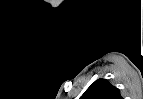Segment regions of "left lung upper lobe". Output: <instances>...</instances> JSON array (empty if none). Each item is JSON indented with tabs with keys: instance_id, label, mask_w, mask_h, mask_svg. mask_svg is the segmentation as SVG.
<instances>
[{
	"instance_id": "obj_1",
	"label": "left lung upper lobe",
	"mask_w": 143,
	"mask_h": 99,
	"mask_svg": "<svg viewBox=\"0 0 143 99\" xmlns=\"http://www.w3.org/2000/svg\"><path fill=\"white\" fill-rule=\"evenodd\" d=\"M80 99H122L118 88L106 79H98L90 85Z\"/></svg>"
}]
</instances>
